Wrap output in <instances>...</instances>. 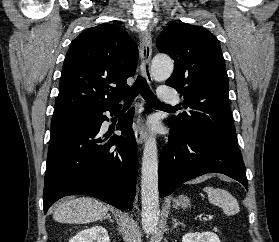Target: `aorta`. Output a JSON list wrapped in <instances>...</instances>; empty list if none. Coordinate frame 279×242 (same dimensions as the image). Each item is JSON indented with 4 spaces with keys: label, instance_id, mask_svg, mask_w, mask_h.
Returning <instances> with one entry per match:
<instances>
[{
    "label": "aorta",
    "instance_id": "762f6f07",
    "mask_svg": "<svg viewBox=\"0 0 279 242\" xmlns=\"http://www.w3.org/2000/svg\"><path fill=\"white\" fill-rule=\"evenodd\" d=\"M152 76L157 81L168 79L174 63L167 55H156L152 59ZM142 227L145 233H153L159 221L158 151L154 136L145 142L141 169Z\"/></svg>",
    "mask_w": 279,
    "mask_h": 242
}]
</instances>
